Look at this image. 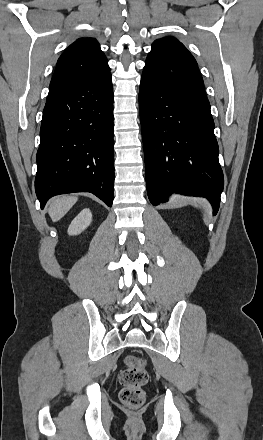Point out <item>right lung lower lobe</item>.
<instances>
[{
    "mask_svg": "<svg viewBox=\"0 0 263 440\" xmlns=\"http://www.w3.org/2000/svg\"><path fill=\"white\" fill-rule=\"evenodd\" d=\"M35 190L41 209L59 194L90 192L113 203L111 73L49 94L43 110Z\"/></svg>",
    "mask_w": 263,
    "mask_h": 440,
    "instance_id": "98d812e1",
    "label": "right lung lower lobe"
}]
</instances>
